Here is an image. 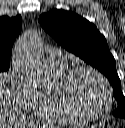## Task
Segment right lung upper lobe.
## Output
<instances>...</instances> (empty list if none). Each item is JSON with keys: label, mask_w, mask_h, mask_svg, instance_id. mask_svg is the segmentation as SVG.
I'll return each mask as SVG.
<instances>
[{"label": "right lung upper lobe", "mask_w": 125, "mask_h": 128, "mask_svg": "<svg viewBox=\"0 0 125 128\" xmlns=\"http://www.w3.org/2000/svg\"><path fill=\"white\" fill-rule=\"evenodd\" d=\"M22 28L21 16L0 17V62H10L12 46Z\"/></svg>", "instance_id": "1"}]
</instances>
